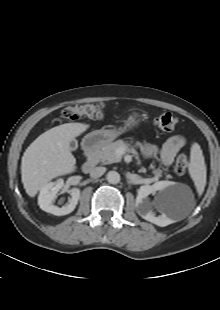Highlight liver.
<instances>
[{
  "label": "liver",
  "mask_w": 220,
  "mask_h": 310,
  "mask_svg": "<svg viewBox=\"0 0 220 310\" xmlns=\"http://www.w3.org/2000/svg\"><path fill=\"white\" fill-rule=\"evenodd\" d=\"M89 128V124L66 123L36 138L23 154L21 179L26 193L35 197L50 180L76 169L70 141Z\"/></svg>",
  "instance_id": "6515ba94"
}]
</instances>
